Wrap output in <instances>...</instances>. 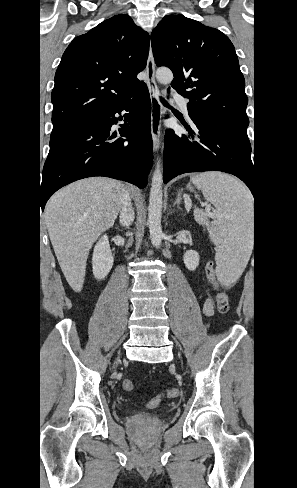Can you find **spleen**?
<instances>
[{
  "instance_id": "spleen-1",
  "label": "spleen",
  "mask_w": 297,
  "mask_h": 488,
  "mask_svg": "<svg viewBox=\"0 0 297 488\" xmlns=\"http://www.w3.org/2000/svg\"><path fill=\"white\" fill-rule=\"evenodd\" d=\"M191 181L215 206L216 220L209 222L205 212L196 208L198 223L206 224L218 247L216 263L219 279L232 282L244 271L252 250L253 201L249 191L236 178L221 172H205Z\"/></svg>"
}]
</instances>
